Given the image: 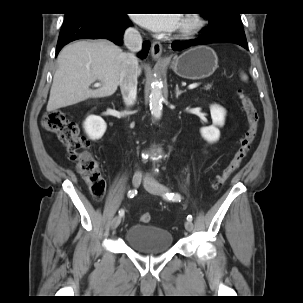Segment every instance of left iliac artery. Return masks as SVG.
I'll use <instances>...</instances> for the list:
<instances>
[{
    "instance_id": "44dca946",
    "label": "left iliac artery",
    "mask_w": 303,
    "mask_h": 303,
    "mask_svg": "<svg viewBox=\"0 0 303 303\" xmlns=\"http://www.w3.org/2000/svg\"><path fill=\"white\" fill-rule=\"evenodd\" d=\"M165 198H167V199H169V200H172V201H179L180 202V200H181V196H180V194H178V193H167L166 195H165ZM192 215H188L187 216V220L188 221H192Z\"/></svg>"
}]
</instances>
